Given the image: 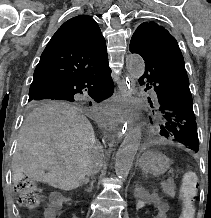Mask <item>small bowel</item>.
<instances>
[{
  "label": "small bowel",
  "mask_w": 211,
  "mask_h": 218,
  "mask_svg": "<svg viewBox=\"0 0 211 218\" xmlns=\"http://www.w3.org/2000/svg\"><path fill=\"white\" fill-rule=\"evenodd\" d=\"M154 218H167L166 217V205L163 202H155L153 204ZM58 210L55 206L51 205L45 210V218H56Z\"/></svg>",
  "instance_id": "obj_1"
}]
</instances>
